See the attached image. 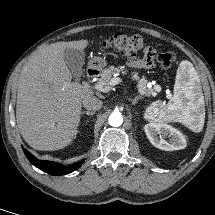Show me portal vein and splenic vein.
I'll list each match as a JSON object with an SVG mask.
<instances>
[{
    "mask_svg": "<svg viewBox=\"0 0 215 215\" xmlns=\"http://www.w3.org/2000/svg\"><path fill=\"white\" fill-rule=\"evenodd\" d=\"M122 81L119 77H114L109 83L98 82L94 85V88L101 92H108L112 86L119 84Z\"/></svg>",
    "mask_w": 215,
    "mask_h": 215,
    "instance_id": "18ae733b",
    "label": "portal vein and splenic vein"
}]
</instances>
